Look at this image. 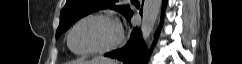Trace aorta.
<instances>
[{
	"label": "aorta",
	"instance_id": "aorta-1",
	"mask_svg": "<svg viewBox=\"0 0 242 64\" xmlns=\"http://www.w3.org/2000/svg\"><path fill=\"white\" fill-rule=\"evenodd\" d=\"M161 0H145L143 5V15L141 32L144 41L151 36L158 14L160 12Z\"/></svg>",
	"mask_w": 242,
	"mask_h": 64
}]
</instances>
